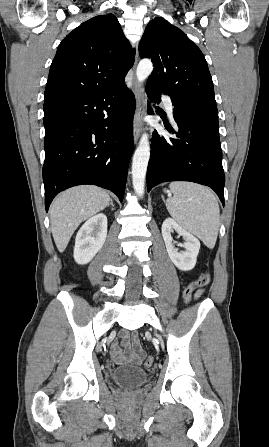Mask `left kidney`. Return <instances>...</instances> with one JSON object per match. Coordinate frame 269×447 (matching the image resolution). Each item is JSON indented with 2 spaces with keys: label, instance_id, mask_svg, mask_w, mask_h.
Segmentation results:
<instances>
[{
  "label": "left kidney",
  "instance_id": "1",
  "mask_svg": "<svg viewBox=\"0 0 269 447\" xmlns=\"http://www.w3.org/2000/svg\"><path fill=\"white\" fill-rule=\"evenodd\" d=\"M171 231H177L179 235H182L184 243H178V245L185 247V251H178V247H174ZM162 235L168 255L171 261L175 263L176 267L183 269V271L193 269L200 249L199 239H197L195 235H192V233H189V231H186V229H183V227H180V225L176 224L172 218H167V220L163 222Z\"/></svg>",
  "mask_w": 269,
  "mask_h": 447
}]
</instances>
